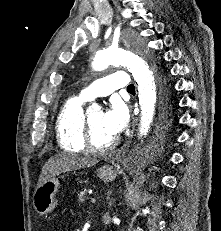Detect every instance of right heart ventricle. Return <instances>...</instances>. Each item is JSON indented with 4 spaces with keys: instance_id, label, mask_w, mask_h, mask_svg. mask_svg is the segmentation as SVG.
I'll use <instances>...</instances> for the list:
<instances>
[{
    "instance_id": "obj_1",
    "label": "right heart ventricle",
    "mask_w": 221,
    "mask_h": 231,
    "mask_svg": "<svg viewBox=\"0 0 221 231\" xmlns=\"http://www.w3.org/2000/svg\"><path fill=\"white\" fill-rule=\"evenodd\" d=\"M83 104L78 97L68 99L61 107L56 119V138L59 147L67 152H83Z\"/></svg>"
}]
</instances>
